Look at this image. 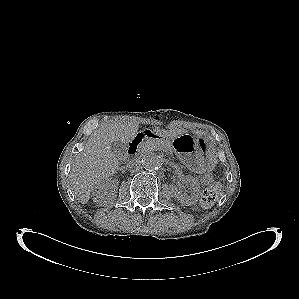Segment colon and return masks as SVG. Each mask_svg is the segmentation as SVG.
Instances as JSON below:
<instances>
[{
  "mask_svg": "<svg viewBox=\"0 0 299 299\" xmlns=\"http://www.w3.org/2000/svg\"><path fill=\"white\" fill-rule=\"evenodd\" d=\"M201 181L206 186L201 195V203L203 206H211L216 201L218 186L214 184L213 177L210 173L204 174Z\"/></svg>",
  "mask_w": 299,
  "mask_h": 299,
  "instance_id": "5ec220e1",
  "label": "colon"
}]
</instances>
